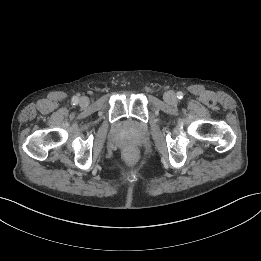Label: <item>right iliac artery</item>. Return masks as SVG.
<instances>
[{
	"instance_id": "right-iliac-artery-1",
	"label": "right iliac artery",
	"mask_w": 261,
	"mask_h": 261,
	"mask_svg": "<svg viewBox=\"0 0 261 261\" xmlns=\"http://www.w3.org/2000/svg\"><path fill=\"white\" fill-rule=\"evenodd\" d=\"M78 102H79L78 97L74 96V97L72 98V104H73V105H76V104H78Z\"/></svg>"
}]
</instances>
